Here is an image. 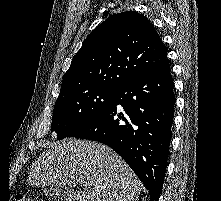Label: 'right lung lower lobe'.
Instances as JSON below:
<instances>
[{
  "mask_svg": "<svg viewBox=\"0 0 221 201\" xmlns=\"http://www.w3.org/2000/svg\"><path fill=\"white\" fill-rule=\"evenodd\" d=\"M175 96L169 61L119 86L111 103L67 137L102 142L118 153L158 201L166 171Z\"/></svg>",
  "mask_w": 221,
  "mask_h": 201,
  "instance_id": "right-lung-lower-lobe-1",
  "label": "right lung lower lobe"
}]
</instances>
